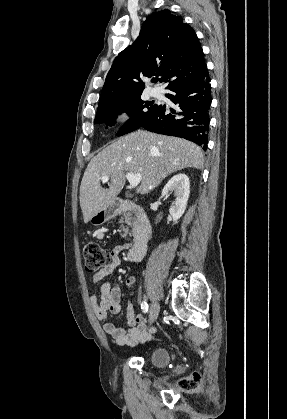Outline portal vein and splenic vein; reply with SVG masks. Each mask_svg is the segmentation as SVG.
I'll return each instance as SVG.
<instances>
[{"label":"portal vein and splenic vein","mask_w":287,"mask_h":419,"mask_svg":"<svg viewBox=\"0 0 287 419\" xmlns=\"http://www.w3.org/2000/svg\"><path fill=\"white\" fill-rule=\"evenodd\" d=\"M141 177L142 176L139 173L138 174H134V173H130V172L126 173V178H127L128 182L130 183L131 188H135L136 186H138V184L141 181ZM101 180H102V182H108L109 176L104 175V176H102Z\"/></svg>","instance_id":"obj_1"}]
</instances>
